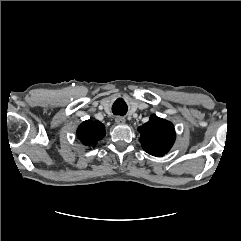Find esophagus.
Wrapping results in <instances>:
<instances>
[{
    "instance_id": "1",
    "label": "esophagus",
    "mask_w": 241,
    "mask_h": 241,
    "mask_svg": "<svg viewBox=\"0 0 241 241\" xmlns=\"http://www.w3.org/2000/svg\"><path fill=\"white\" fill-rule=\"evenodd\" d=\"M115 122H116L117 124H124V123L126 122V120H125V118L122 117V116H116Z\"/></svg>"
}]
</instances>
